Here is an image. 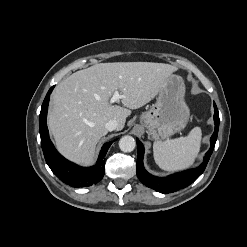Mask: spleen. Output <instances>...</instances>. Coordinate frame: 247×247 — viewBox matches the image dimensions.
Returning <instances> with one entry per match:
<instances>
[{"label": "spleen", "mask_w": 247, "mask_h": 247, "mask_svg": "<svg viewBox=\"0 0 247 247\" xmlns=\"http://www.w3.org/2000/svg\"><path fill=\"white\" fill-rule=\"evenodd\" d=\"M201 139V128L195 127L185 137L156 141L153 144L154 160L161 169L170 172L189 168L198 156Z\"/></svg>", "instance_id": "obj_1"}]
</instances>
